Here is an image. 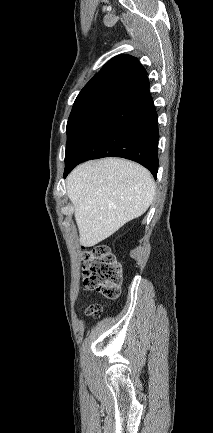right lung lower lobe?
Masks as SVG:
<instances>
[{"label":"right lung lower lobe","instance_id":"obj_1","mask_svg":"<svg viewBox=\"0 0 213 433\" xmlns=\"http://www.w3.org/2000/svg\"><path fill=\"white\" fill-rule=\"evenodd\" d=\"M149 81L143 77L104 107L85 127L65 155L64 177L79 163L122 157L158 171V121Z\"/></svg>","mask_w":213,"mask_h":433}]
</instances>
